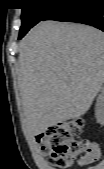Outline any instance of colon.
Instances as JSON below:
<instances>
[{"label":"colon","instance_id":"1","mask_svg":"<svg viewBox=\"0 0 104 169\" xmlns=\"http://www.w3.org/2000/svg\"><path fill=\"white\" fill-rule=\"evenodd\" d=\"M83 127V119H74L50 127L39 137L41 150L51 165L67 169L74 164L83 165L98 159L99 152L94 143L79 137Z\"/></svg>","mask_w":104,"mask_h":169}]
</instances>
